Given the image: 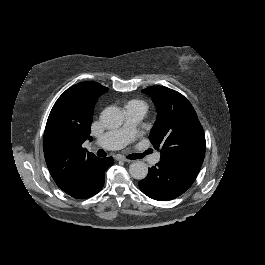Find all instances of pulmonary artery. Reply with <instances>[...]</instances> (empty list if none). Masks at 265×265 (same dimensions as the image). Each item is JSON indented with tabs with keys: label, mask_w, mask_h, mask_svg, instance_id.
I'll list each match as a JSON object with an SVG mask.
<instances>
[{
	"label": "pulmonary artery",
	"mask_w": 265,
	"mask_h": 265,
	"mask_svg": "<svg viewBox=\"0 0 265 265\" xmlns=\"http://www.w3.org/2000/svg\"><path fill=\"white\" fill-rule=\"evenodd\" d=\"M125 115L127 121L119 131L109 132L108 135L100 136L98 138V145L104 148L120 149L128 142L138 139L139 132L137 130V122L143 119L145 110L141 108H125ZM160 160V153L156 154L153 162L157 163Z\"/></svg>",
	"instance_id": "e3ab8cb5"
}]
</instances>
